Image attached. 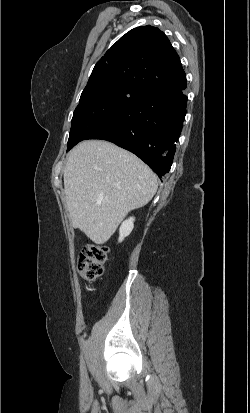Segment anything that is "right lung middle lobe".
<instances>
[{
    "mask_svg": "<svg viewBox=\"0 0 250 413\" xmlns=\"http://www.w3.org/2000/svg\"><path fill=\"white\" fill-rule=\"evenodd\" d=\"M140 94L137 89L123 85L85 88L73 114L67 151L112 120L129 101Z\"/></svg>",
    "mask_w": 250,
    "mask_h": 413,
    "instance_id": "obj_1",
    "label": "right lung middle lobe"
}]
</instances>
